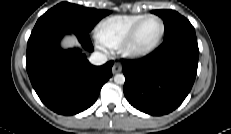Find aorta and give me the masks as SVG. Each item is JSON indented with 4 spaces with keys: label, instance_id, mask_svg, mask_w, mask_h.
Returning a JSON list of instances; mask_svg holds the SVG:
<instances>
[{
    "label": "aorta",
    "instance_id": "1",
    "mask_svg": "<svg viewBox=\"0 0 231 134\" xmlns=\"http://www.w3.org/2000/svg\"><path fill=\"white\" fill-rule=\"evenodd\" d=\"M114 82L116 84H124V82H125V76L123 74H116L114 76Z\"/></svg>",
    "mask_w": 231,
    "mask_h": 134
}]
</instances>
